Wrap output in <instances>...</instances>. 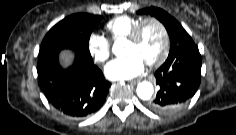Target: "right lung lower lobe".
Listing matches in <instances>:
<instances>
[{
	"label": "right lung lower lobe",
	"instance_id": "98d812e1",
	"mask_svg": "<svg viewBox=\"0 0 236 135\" xmlns=\"http://www.w3.org/2000/svg\"><path fill=\"white\" fill-rule=\"evenodd\" d=\"M37 72L38 84L49 103L73 118L98 111L110 87L92 58L77 50L74 63L68 69L61 68L56 55L40 59Z\"/></svg>",
	"mask_w": 236,
	"mask_h": 135
}]
</instances>
